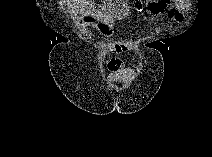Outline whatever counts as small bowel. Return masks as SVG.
Masks as SVG:
<instances>
[{"instance_id":"1","label":"small bowel","mask_w":212,"mask_h":157,"mask_svg":"<svg viewBox=\"0 0 212 157\" xmlns=\"http://www.w3.org/2000/svg\"><path fill=\"white\" fill-rule=\"evenodd\" d=\"M60 4L72 13L83 32H87L89 28H94L108 39L110 49L106 55V65L109 70L107 81L112 83L129 79L133 75V70L125 67L123 61L114 55L130 50L131 46L128 43L116 42L113 39L115 21L124 19L129 14L130 6L127 1L73 0ZM145 5L152 15L158 16L167 13L170 19L178 23H183L186 20L188 7L184 0H153L147 4L141 0H134L131 8L139 11Z\"/></svg>"}]
</instances>
